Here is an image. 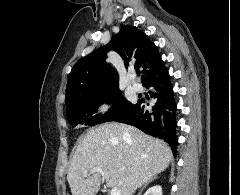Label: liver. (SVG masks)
<instances>
[{
    "mask_svg": "<svg viewBox=\"0 0 240 195\" xmlns=\"http://www.w3.org/2000/svg\"><path fill=\"white\" fill-rule=\"evenodd\" d=\"M171 147L163 139L146 135L126 123H101L81 135L67 173L72 195H96L101 175L106 187H118L121 195H132L141 183L164 171L172 159ZM101 167L102 173H90ZM87 173V177H84Z\"/></svg>",
    "mask_w": 240,
    "mask_h": 195,
    "instance_id": "1",
    "label": "liver"
}]
</instances>
